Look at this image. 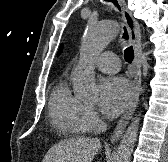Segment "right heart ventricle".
<instances>
[{
    "mask_svg": "<svg viewBox=\"0 0 168 162\" xmlns=\"http://www.w3.org/2000/svg\"><path fill=\"white\" fill-rule=\"evenodd\" d=\"M84 104L72 94L65 78L55 85L50 101L49 114L53 124L71 135H84L90 128L83 117Z\"/></svg>",
    "mask_w": 168,
    "mask_h": 162,
    "instance_id": "e07e8e85",
    "label": "right heart ventricle"
}]
</instances>
